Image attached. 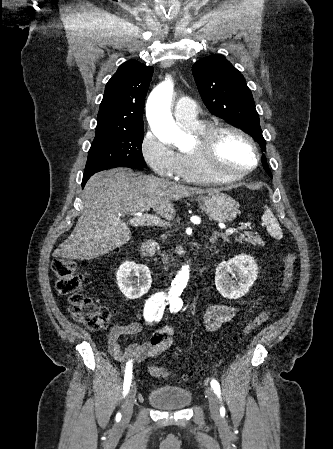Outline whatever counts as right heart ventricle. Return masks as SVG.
Returning a JSON list of instances; mask_svg holds the SVG:
<instances>
[{"mask_svg":"<svg viewBox=\"0 0 333 449\" xmlns=\"http://www.w3.org/2000/svg\"><path fill=\"white\" fill-rule=\"evenodd\" d=\"M208 127H209L208 125L204 124H197L195 126H184V128L187 131L197 136L200 135L202 132H204ZM178 156H179V168L177 178H179L180 180L196 184L221 182L215 180L209 174H207L194 149L189 151L178 152Z\"/></svg>","mask_w":333,"mask_h":449,"instance_id":"right-heart-ventricle-1","label":"right heart ventricle"}]
</instances>
